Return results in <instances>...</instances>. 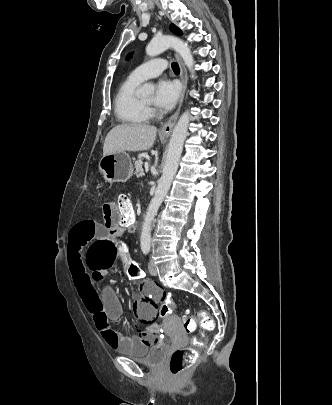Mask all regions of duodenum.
Wrapping results in <instances>:
<instances>
[{"mask_svg":"<svg viewBox=\"0 0 332 405\" xmlns=\"http://www.w3.org/2000/svg\"><path fill=\"white\" fill-rule=\"evenodd\" d=\"M126 227L130 233H134L138 228V222L136 219L132 218L126 223Z\"/></svg>","mask_w":332,"mask_h":405,"instance_id":"duodenum-1","label":"duodenum"}]
</instances>
